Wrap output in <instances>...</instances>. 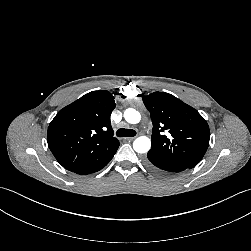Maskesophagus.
<instances>
[{"label":"esophagus","mask_w":251,"mask_h":251,"mask_svg":"<svg viewBox=\"0 0 251 251\" xmlns=\"http://www.w3.org/2000/svg\"><path fill=\"white\" fill-rule=\"evenodd\" d=\"M136 137H127L126 140L127 141H133Z\"/></svg>","instance_id":"esophagus-1"}]
</instances>
